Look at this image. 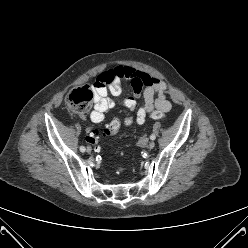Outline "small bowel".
Instances as JSON below:
<instances>
[{
    "label": "small bowel",
    "instance_id": "obj_1",
    "mask_svg": "<svg viewBox=\"0 0 248 248\" xmlns=\"http://www.w3.org/2000/svg\"><path fill=\"white\" fill-rule=\"evenodd\" d=\"M122 80L130 81L133 96L122 97ZM167 89L168 84L163 79L146 72L125 65L109 68L98 75L94 84V109L90 119L93 123H100L105 119L106 113L114 107L115 101L108 97V93L128 110L135 108L136 98L142 94L144 103L135 117V122L142 125L152 112L165 113L171 109V103L166 98Z\"/></svg>",
    "mask_w": 248,
    "mask_h": 248
}]
</instances>
